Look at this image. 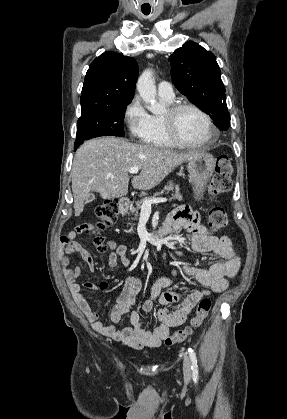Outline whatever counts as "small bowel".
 <instances>
[{
	"instance_id": "1",
	"label": "small bowel",
	"mask_w": 287,
	"mask_h": 419,
	"mask_svg": "<svg viewBox=\"0 0 287 419\" xmlns=\"http://www.w3.org/2000/svg\"><path fill=\"white\" fill-rule=\"evenodd\" d=\"M165 226L171 231L185 228L189 230L191 247L195 252H213L214 263L208 269H202L184 265L185 273L202 284V290H193L182 296L176 292H161L162 288L170 285L172 279L169 276L158 277L151 288V297L142 304L144 312L156 310L160 325L154 330H148L142 323L140 314L136 311L130 313V326L116 328L106 325L99 320L98 314L93 311L87 298L82 293V288L104 292L109 283L102 281L98 284L76 282L83 274V269L76 267L70 269V255L77 254L84 261L89 271H93L95 263L90 253L76 240L80 233L87 232L90 226L83 224L60 237L57 256L63 268L64 277L70 287L72 296L92 326L101 334L134 349L144 347L156 348L165 340L173 327L185 322L195 305L204 297L213 293H219L228 286V278L234 277L240 268V257L233 247L230 238L226 235L216 237L210 233L200 222L199 214L188 206H180L168 216ZM110 249L108 265L116 268L119 261L124 267H129L130 260L127 256V248L118 245L114 241H108ZM141 289V282L135 276H128L124 287L117 299V303L111 310L110 318L113 323H118L121 317L129 312L135 304L136 297ZM172 305V309L167 308Z\"/></svg>"
}]
</instances>
